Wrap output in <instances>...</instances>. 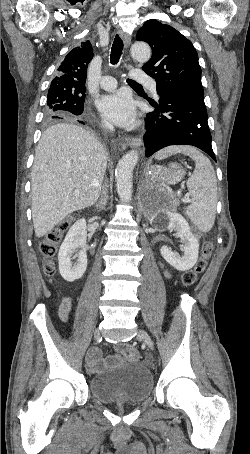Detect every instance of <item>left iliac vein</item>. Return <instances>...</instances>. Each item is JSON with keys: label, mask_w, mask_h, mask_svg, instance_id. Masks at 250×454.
<instances>
[{"label": "left iliac vein", "mask_w": 250, "mask_h": 454, "mask_svg": "<svg viewBox=\"0 0 250 454\" xmlns=\"http://www.w3.org/2000/svg\"><path fill=\"white\" fill-rule=\"evenodd\" d=\"M138 337H140L151 350L154 349V343L146 331L139 330Z\"/></svg>", "instance_id": "1"}]
</instances>
